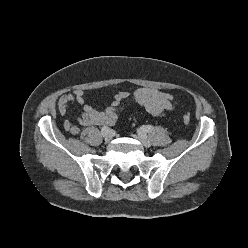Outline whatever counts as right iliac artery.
Listing matches in <instances>:
<instances>
[{
  "label": "right iliac artery",
  "mask_w": 248,
  "mask_h": 248,
  "mask_svg": "<svg viewBox=\"0 0 248 248\" xmlns=\"http://www.w3.org/2000/svg\"><path fill=\"white\" fill-rule=\"evenodd\" d=\"M109 132H110V129L107 126L102 127L101 133H102V136L103 137H105L106 135H108Z\"/></svg>",
  "instance_id": "82829eb1"
}]
</instances>
